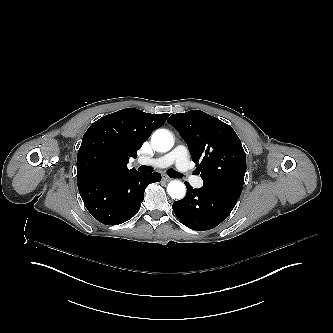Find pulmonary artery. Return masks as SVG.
<instances>
[{
  "label": "pulmonary artery",
  "mask_w": 333,
  "mask_h": 333,
  "mask_svg": "<svg viewBox=\"0 0 333 333\" xmlns=\"http://www.w3.org/2000/svg\"><path fill=\"white\" fill-rule=\"evenodd\" d=\"M190 147L188 145H181L178 147V149H171L170 153H167L166 155L158 158H145L144 159V166L145 167H168L172 162L177 159V172L178 173H183L184 179L187 181H191L192 185L195 186L196 188H201L202 187V180L200 177L195 176L190 173V170L188 168L187 162L189 160L188 155L190 154Z\"/></svg>",
  "instance_id": "e3ab8cb5"
}]
</instances>
